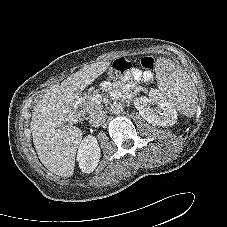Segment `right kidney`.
<instances>
[{"label":"right kidney","instance_id":"ca27d5eb","mask_svg":"<svg viewBox=\"0 0 227 227\" xmlns=\"http://www.w3.org/2000/svg\"><path fill=\"white\" fill-rule=\"evenodd\" d=\"M100 154L101 150L95 136H86L81 141L77 153V161L82 172H93L98 166Z\"/></svg>","mask_w":227,"mask_h":227}]
</instances>
